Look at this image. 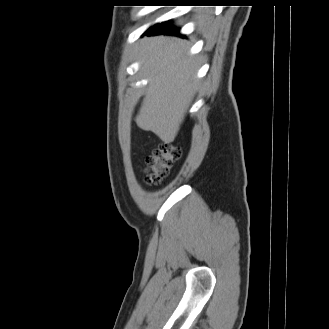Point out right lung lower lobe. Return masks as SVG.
<instances>
[{
    "label": "right lung lower lobe",
    "mask_w": 329,
    "mask_h": 329,
    "mask_svg": "<svg viewBox=\"0 0 329 329\" xmlns=\"http://www.w3.org/2000/svg\"><path fill=\"white\" fill-rule=\"evenodd\" d=\"M171 34V35H180L179 30L170 27V22H164L153 26L145 34L146 35H156V34Z\"/></svg>",
    "instance_id": "98d812e1"
}]
</instances>
